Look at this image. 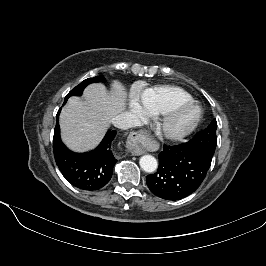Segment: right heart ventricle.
<instances>
[{"label": "right heart ventricle", "instance_id": "right-heart-ventricle-1", "mask_svg": "<svg viewBox=\"0 0 266 266\" xmlns=\"http://www.w3.org/2000/svg\"><path fill=\"white\" fill-rule=\"evenodd\" d=\"M192 100L187 91L173 85H158L142 93V105L151 116L162 115L173 107Z\"/></svg>", "mask_w": 266, "mask_h": 266}]
</instances>
